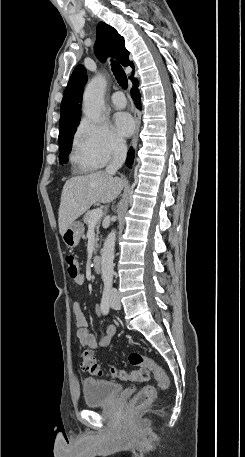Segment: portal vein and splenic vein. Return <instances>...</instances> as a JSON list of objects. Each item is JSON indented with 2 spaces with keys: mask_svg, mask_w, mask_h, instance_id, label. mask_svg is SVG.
Segmentation results:
<instances>
[{
  "mask_svg": "<svg viewBox=\"0 0 245 457\" xmlns=\"http://www.w3.org/2000/svg\"><path fill=\"white\" fill-rule=\"evenodd\" d=\"M102 214H103L102 208H95V210H93V212L91 214V218H90L91 222H93V224H94V222H96V220H99V218H101Z\"/></svg>",
  "mask_w": 245,
  "mask_h": 457,
  "instance_id": "obj_1",
  "label": "portal vein and splenic vein"
}]
</instances>
